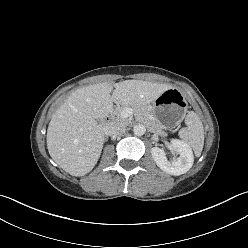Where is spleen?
<instances>
[{
	"label": "spleen",
	"instance_id": "obj_1",
	"mask_svg": "<svg viewBox=\"0 0 248 248\" xmlns=\"http://www.w3.org/2000/svg\"><path fill=\"white\" fill-rule=\"evenodd\" d=\"M186 127L179 131V136L184 143L191 147L195 155H201L204 145V129L200 118L194 111H189L185 118Z\"/></svg>",
	"mask_w": 248,
	"mask_h": 248
}]
</instances>
